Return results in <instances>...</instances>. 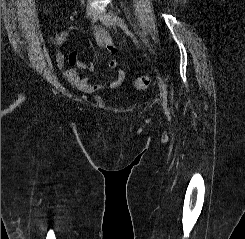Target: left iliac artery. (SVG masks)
<instances>
[{"label": "left iliac artery", "mask_w": 245, "mask_h": 239, "mask_svg": "<svg viewBox=\"0 0 245 239\" xmlns=\"http://www.w3.org/2000/svg\"><path fill=\"white\" fill-rule=\"evenodd\" d=\"M114 18H115L116 22L118 23V25L121 27V29L133 40V42L135 44L139 45L136 36L131 32L128 25L124 21V19H122L121 17H119L116 14H114ZM158 80H159V84L163 90V106H164V108H167V95H168L167 85L159 75H158Z\"/></svg>", "instance_id": "left-iliac-artery-1"}]
</instances>
